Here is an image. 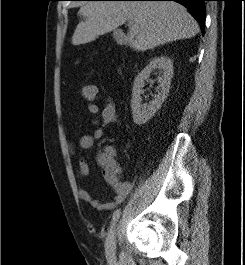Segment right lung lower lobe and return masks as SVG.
<instances>
[{"label": "right lung lower lobe", "instance_id": "obj_1", "mask_svg": "<svg viewBox=\"0 0 245 265\" xmlns=\"http://www.w3.org/2000/svg\"><path fill=\"white\" fill-rule=\"evenodd\" d=\"M123 1H175L185 6L200 24L201 32L205 30V1L206 0H123Z\"/></svg>", "mask_w": 245, "mask_h": 265}]
</instances>
